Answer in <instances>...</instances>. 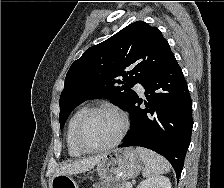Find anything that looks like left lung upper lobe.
Instances as JSON below:
<instances>
[{"label":"left lung upper lobe","mask_w":224,"mask_h":188,"mask_svg":"<svg viewBox=\"0 0 224 188\" xmlns=\"http://www.w3.org/2000/svg\"><path fill=\"white\" fill-rule=\"evenodd\" d=\"M173 58L159 29L143 21L88 48L66 75L60 97V127L71 111L87 99L108 98L130 113L138 96L131 87L143 84Z\"/></svg>","instance_id":"5c2ea615"}]
</instances>
